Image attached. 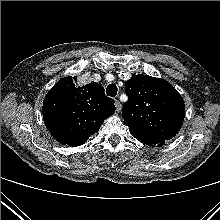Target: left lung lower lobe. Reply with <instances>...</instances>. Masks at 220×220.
Segmentation results:
<instances>
[{"label": "left lung lower lobe", "mask_w": 220, "mask_h": 220, "mask_svg": "<svg viewBox=\"0 0 220 220\" xmlns=\"http://www.w3.org/2000/svg\"><path fill=\"white\" fill-rule=\"evenodd\" d=\"M137 140H139L140 142L149 145V146H163L165 141L164 140H154V139H149V138H141V137H136L134 136Z\"/></svg>", "instance_id": "0a47b994"}]
</instances>
